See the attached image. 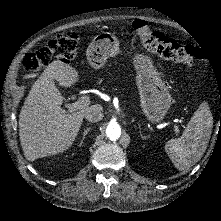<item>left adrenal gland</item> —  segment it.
<instances>
[{
	"label": "left adrenal gland",
	"instance_id": "obj_1",
	"mask_svg": "<svg viewBox=\"0 0 221 221\" xmlns=\"http://www.w3.org/2000/svg\"><path fill=\"white\" fill-rule=\"evenodd\" d=\"M134 121H135L134 118H132L131 122H134ZM138 127H139V130H140L139 132H140L141 138L146 139L147 137L143 136L142 133H141V125L139 123H138Z\"/></svg>",
	"mask_w": 221,
	"mask_h": 221
}]
</instances>
